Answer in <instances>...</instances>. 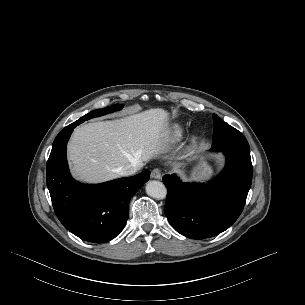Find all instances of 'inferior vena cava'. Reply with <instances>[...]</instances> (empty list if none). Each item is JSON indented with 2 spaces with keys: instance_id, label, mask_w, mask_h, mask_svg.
Returning a JSON list of instances; mask_svg holds the SVG:
<instances>
[{
  "instance_id": "inferior-vena-cava-1",
  "label": "inferior vena cava",
  "mask_w": 305,
  "mask_h": 305,
  "mask_svg": "<svg viewBox=\"0 0 305 305\" xmlns=\"http://www.w3.org/2000/svg\"><path fill=\"white\" fill-rule=\"evenodd\" d=\"M143 166L142 162L134 161L126 165L115 168L114 172L120 176H130L135 174Z\"/></svg>"
}]
</instances>
